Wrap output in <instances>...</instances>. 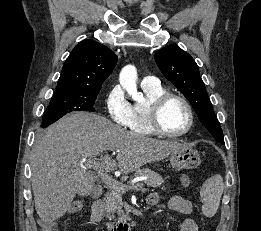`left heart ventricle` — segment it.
I'll return each mask as SVG.
<instances>
[{
	"mask_svg": "<svg viewBox=\"0 0 261 231\" xmlns=\"http://www.w3.org/2000/svg\"><path fill=\"white\" fill-rule=\"evenodd\" d=\"M162 127L168 132H180L188 124V114L184 104L178 99H170L160 114Z\"/></svg>",
	"mask_w": 261,
	"mask_h": 231,
	"instance_id": "b2bd125f",
	"label": "left heart ventricle"
}]
</instances>
